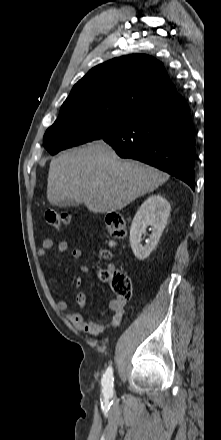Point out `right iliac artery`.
<instances>
[{
  "mask_svg": "<svg viewBox=\"0 0 221 440\" xmlns=\"http://www.w3.org/2000/svg\"><path fill=\"white\" fill-rule=\"evenodd\" d=\"M113 382V370L112 367L109 366L102 378L103 393L107 398L113 396Z\"/></svg>",
  "mask_w": 221,
  "mask_h": 440,
  "instance_id": "1",
  "label": "right iliac artery"
}]
</instances>
